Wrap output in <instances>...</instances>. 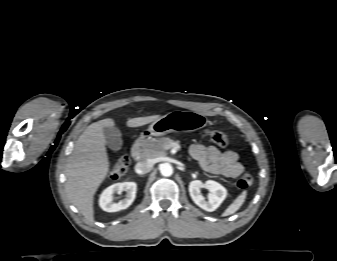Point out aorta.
Returning <instances> with one entry per match:
<instances>
[{
    "mask_svg": "<svg viewBox=\"0 0 337 261\" xmlns=\"http://www.w3.org/2000/svg\"><path fill=\"white\" fill-rule=\"evenodd\" d=\"M160 173L163 175V176H171L173 174V168L171 166V164L169 163H163L160 165Z\"/></svg>",
    "mask_w": 337,
    "mask_h": 261,
    "instance_id": "obj_1",
    "label": "aorta"
}]
</instances>
